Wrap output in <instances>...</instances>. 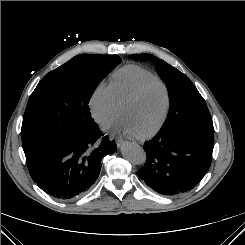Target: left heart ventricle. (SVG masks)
<instances>
[{
	"instance_id": "left-heart-ventricle-1",
	"label": "left heart ventricle",
	"mask_w": 245,
	"mask_h": 245,
	"mask_svg": "<svg viewBox=\"0 0 245 245\" xmlns=\"http://www.w3.org/2000/svg\"><path fill=\"white\" fill-rule=\"evenodd\" d=\"M164 106L163 88L157 83H152L143 90L138 98L125 104L120 112L127 123L138 134H142L159 121Z\"/></svg>"
}]
</instances>
